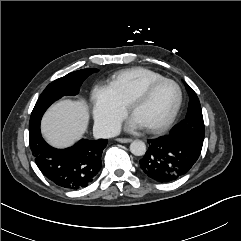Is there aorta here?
I'll return each instance as SVG.
<instances>
[{"label": "aorta", "instance_id": "obj_1", "mask_svg": "<svg viewBox=\"0 0 241 241\" xmlns=\"http://www.w3.org/2000/svg\"><path fill=\"white\" fill-rule=\"evenodd\" d=\"M130 151L135 156H142L146 152V145L141 140H135L130 144Z\"/></svg>", "mask_w": 241, "mask_h": 241}]
</instances>
